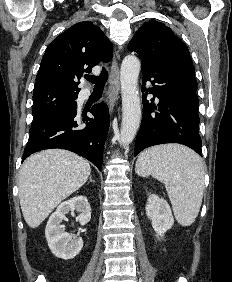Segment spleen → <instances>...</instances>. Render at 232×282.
Here are the masks:
<instances>
[{
	"mask_svg": "<svg viewBox=\"0 0 232 282\" xmlns=\"http://www.w3.org/2000/svg\"><path fill=\"white\" fill-rule=\"evenodd\" d=\"M135 169L138 175H152L165 184L176 220L182 226L195 221L204 189V166L196 153L177 144L155 146L140 154Z\"/></svg>",
	"mask_w": 232,
	"mask_h": 282,
	"instance_id": "obj_1",
	"label": "spleen"
}]
</instances>
